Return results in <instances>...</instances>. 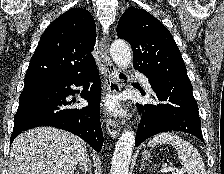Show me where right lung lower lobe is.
Here are the masks:
<instances>
[{
    "label": "right lung lower lobe",
    "instance_id": "right-lung-lower-lobe-1",
    "mask_svg": "<svg viewBox=\"0 0 224 174\" xmlns=\"http://www.w3.org/2000/svg\"><path fill=\"white\" fill-rule=\"evenodd\" d=\"M93 83L88 90L86 83ZM83 86L82 98L88 106L82 109L71 108L68 95H75L70 86ZM101 98V80L96 65L89 71L42 80L24 85L19 98V107L14 117V128L10 143L21 132L39 126H52L78 135L100 151L103 145V133L99 117Z\"/></svg>",
    "mask_w": 224,
    "mask_h": 174
}]
</instances>
